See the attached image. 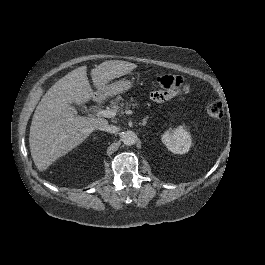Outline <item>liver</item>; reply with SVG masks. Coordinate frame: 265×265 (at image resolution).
I'll return each instance as SVG.
<instances>
[{
    "label": "liver",
    "mask_w": 265,
    "mask_h": 265,
    "mask_svg": "<svg viewBox=\"0 0 265 265\" xmlns=\"http://www.w3.org/2000/svg\"><path fill=\"white\" fill-rule=\"evenodd\" d=\"M136 64L126 61H105L91 70L95 88L104 92L106 84L130 73ZM93 96L87 67H78L59 79L42 97L34 112L29 134L33 161L39 171L46 170L59 157L81 144L103 118L83 117L71 103L82 105Z\"/></svg>",
    "instance_id": "liver-1"
}]
</instances>
